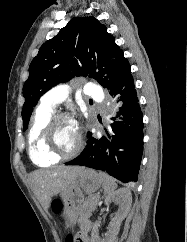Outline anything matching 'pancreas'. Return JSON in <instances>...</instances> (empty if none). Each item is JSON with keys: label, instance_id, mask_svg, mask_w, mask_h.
I'll use <instances>...</instances> for the list:
<instances>
[{"label": "pancreas", "instance_id": "cf45deb5", "mask_svg": "<svg viewBox=\"0 0 187 242\" xmlns=\"http://www.w3.org/2000/svg\"><path fill=\"white\" fill-rule=\"evenodd\" d=\"M98 202H99L98 195L89 196L85 200L81 214H84L85 216H90L91 213L96 209Z\"/></svg>", "mask_w": 187, "mask_h": 242}]
</instances>
